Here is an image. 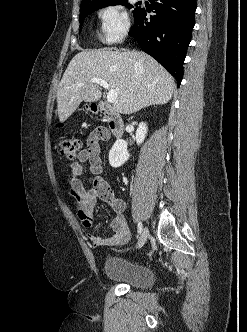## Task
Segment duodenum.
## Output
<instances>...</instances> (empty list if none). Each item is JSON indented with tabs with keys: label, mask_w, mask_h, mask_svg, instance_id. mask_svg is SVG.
<instances>
[{
	"label": "duodenum",
	"mask_w": 247,
	"mask_h": 332,
	"mask_svg": "<svg viewBox=\"0 0 247 332\" xmlns=\"http://www.w3.org/2000/svg\"><path fill=\"white\" fill-rule=\"evenodd\" d=\"M97 109L107 121L111 134L115 138H120L124 133V123L119 114L104 103H99Z\"/></svg>",
	"instance_id": "duodenum-1"
}]
</instances>
